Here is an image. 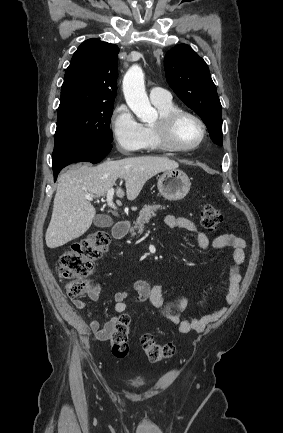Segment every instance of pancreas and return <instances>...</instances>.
<instances>
[{
  "label": "pancreas",
  "mask_w": 283,
  "mask_h": 433,
  "mask_svg": "<svg viewBox=\"0 0 283 433\" xmlns=\"http://www.w3.org/2000/svg\"><path fill=\"white\" fill-rule=\"evenodd\" d=\"M157 208H165V206H161V204H144L143 208H141L139 212V217H137L134 223V227H131L130 229L131 237L136 235L135 231L143 233L145 223H149L152 217H156Z\"/></svg>",
  "instance_id": "pancreas-1"
}]
</instances>
